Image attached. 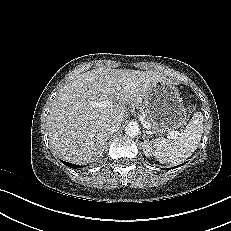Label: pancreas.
I'll return each instance as SVG.
<instances>
[{
  "mask_svg": "<svg viewBox=\"0 0 231 231\" xmlns=\"http://www.w3.org/2000/svg\"><path fill=\"white\" fill-rule=\"evenodd\" d=\"M145 116H146V114H145ZM147 123H150L149 120L147 121Z\"/></svg>",
  "mask_w": 231,
  "mask_h": 231,
  "instance_id": "cf45deb5",
  "label": "pancreas"
}]
</instances>
